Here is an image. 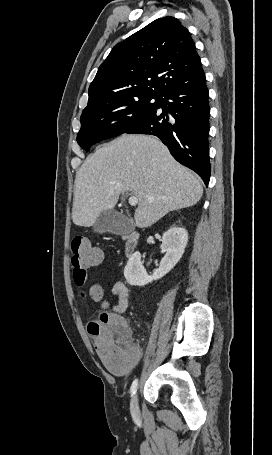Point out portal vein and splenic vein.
<instances>
[{
    "instance_id": "portal-vein-and-splenic-vein-1",
    "label": "portal vein and splenic vein",
    "mask_w": 272,
    "mask_h": 455,
    "mask_svg": "<svg viewBox=\"0 0 272 455\" xmlns=\"http://www.w3.org/2000/svg\"><path fill=\"white\" fill-rule=\"evenodd\" d=\"M128 202L131 206H135L138 204V198L136 196H130Z\"/></svg>"
}]
</instances>
